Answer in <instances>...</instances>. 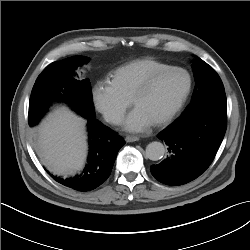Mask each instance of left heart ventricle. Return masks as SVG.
Here are the masks:
<instances>
[{"label": "left heart ventricle", "instance_id": "b2bd125f", "mask_svg": "<svg viewBox=\"0 0 250 250\" xmlns=\"http://www.w3.org/2000/svg\"><path fill=\"white\" fill-rule=\"evenodd\" d=\"M186 86L187 77L183 72H168L158 78L146 94L137 99L135 107L141 109L154 123L173 109Z\"/></svg>", "mask_w": 250, "mask_h": 250}]
</instances>
